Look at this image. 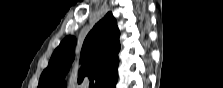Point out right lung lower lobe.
I'll list each match as a JSON object with an SVG mask.
<instances>
[{
  "mask_svg": "<svg viewBox=\"0 0 223 88\" xmlns=\"http://www.w3.org/2000/svg\"><path fill=\"white\" fill-rule=\"evenodd\" d=\"M117 81V80H116ZM116 81H113V82H109L108 84H106L104 86V88H114L115 87V84H116Z\"/></svg>",
  "mask_w": 223,
  "mask_h": 88,
  "instance_id": "right-lung-lower-lobe-1",
  "label": "right lung lower lobe"
}]
</instances>
